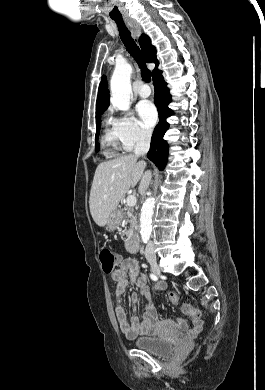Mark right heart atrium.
<instances>
[{"mask_svg":"<svg viewBox=\"0 0 265 390\" xmlns=\"http://www.w3.org/2000/svg\"><path fill=\"white\" fill-rule=\"evenodd\" d=\"M111 123L125 150H132L150 141V131L143 127L132 114L117 116L111 120Z\"/></svg>","mask_w":265,"mask_h":390,"instance_id":"d8ad5b80","label":"right heart atrium"}]
</instances>
